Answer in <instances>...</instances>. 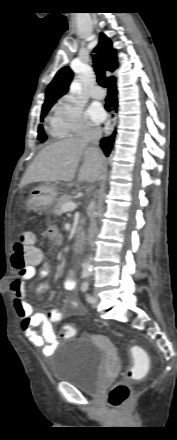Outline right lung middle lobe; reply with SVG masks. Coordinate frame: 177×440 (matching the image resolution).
Segmentation results:
<instances>
[{
    "label": "right lung middle lobe",
    "mask_w": 177,
    "mask_h": 440,
    "mask_svg": "<svg viewBox=\"0 0 177 440\" xmlns=\"http://www.w3.org/2000/svg\"><path fill=\"white\" fill-rule=\"evenodd\" d=\"M54 103L55 102H47L43 104L42 112H41V121H43L44 117L46 116V114L48 113V111L50 110V108ZM46 139L47 137L44 133L43 126L40 124L38 127V140L44 142Z\"/></svg>",
    "instance_id": "dd1d6c3e"
}]
</instances>
